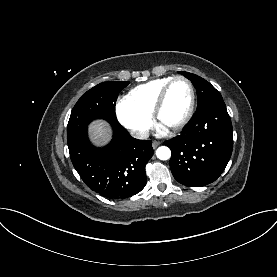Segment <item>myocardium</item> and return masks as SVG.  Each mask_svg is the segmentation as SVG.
Here are the masks:
<instances>
[{
  "instance_id": "obj_1",
  "label": "myocardium",
  "mask_w": 277,
  "mask_h": 277,
  "mask_svg": "<svg viewBox=\"0 0 277 277\" xmlns=\"http://www.w3.org/2000/svg\"><path fill=\"white\" fill-rule=\"evenodd\" d=\"M177 81H184L188 85L189 90H190V103H189V107H188L187 112L185 113L184 117L177 124L169 127V129L171 131L181 130L192 118L194 110H195V106H196V92H195V88H194L192 82L184 76H175L162 88L161 92L159 93V95L156 99V102H155L153 110H152V116H153L154 120L156 122H159L160 113L165 104L168 92H169L171 86Z\"/></svg>"
}]
</instances>
